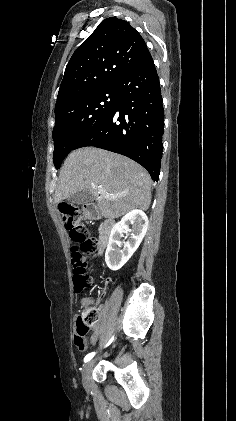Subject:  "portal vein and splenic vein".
Masks as SVG:
<instances>
[{
    "instance_id": "18ae733b",
    "label": "portal vein and splenic vein",
    "mask_w": 236,
    "mask_h": 421,
    "mask_svg": "<svg viewBox=\"0 0 236 421\" xmlns=\"http://www.w3.org/2000/svg\"><path fill=\"white\" fill-rule=\"evenodd\" d=\"M91 188H97V190H104L103 186H98V184H91ZM121 196H125V194H107L105 198H108V200H117V198H121Z\"/></svg>"
}]
</instances>
